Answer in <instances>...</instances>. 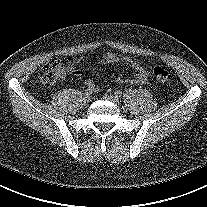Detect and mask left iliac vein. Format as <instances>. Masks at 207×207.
I'll use <instances>...</instances> for the list:
<instances>
[{"label": "left iliac vein", "mask_w": 207, "mask_h": 207, "mask_svg": "<svg viewBox=\"0 0 207 207\" xmlns=\"http://www.w3.org/2000/svg\"><path fill=\"white\" fill-rule=\"evenodd\" d=\"M104 99L108 100V101H111V102H114L116 104H119V102H120L119 98L114 94H106L104 96Z\"/></svg>", "instance_id": "4c4485c4"}]
</instances>
